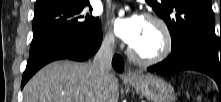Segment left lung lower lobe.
<instances>
[{
  "instance_id": "obj_1",
  "label": "left lung lower lobe",
  "mask_w": 221,
  "mask_h": 102,
  "mask_svg": "<svg viewBox=\"0 0 221 102\" xmlns=\"http://www.w3.org/2000/svg\"><path fill=\"white\" fill-rule=\"evenodd\" d=\"M180 70H196L208 74L221 89V58L218 53L198 41H186L172 48L170 56L148 68L150 72H175Z\"/></svg>"
}]
</instances>
